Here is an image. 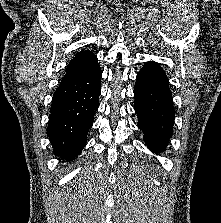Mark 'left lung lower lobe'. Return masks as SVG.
I'll return each instance as SVG.
<instances>
[{"instance_id":"1","label":"left lung lower lobe","mask_w":221,"mask_h":223,"mask_svg":"<svg viewBox=\"0 0 221 223\" xmlns=\"http://www.w3.org/2000/svg\"><path fill=\"white\" fill-rule=\"evenodd\" d=\"M138 127L153 152H162L173 134L175 110L168 78L154 61L144 65L136 77L134 89Z\"/></svg>"}]
</instances>
